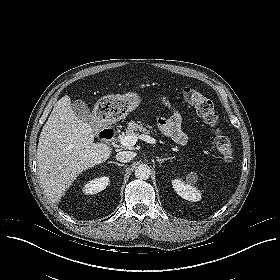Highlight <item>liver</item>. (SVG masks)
<instances>
[{
  "instance_id": "1",
  "label": "liver",
  "mask_w": 280,
  "mask_h": 280,
  "mask_svg": "<svg viewBox=\"0 0 280 280\" xmlns=\"http://www.w3.org/2000/svg\"><path fill=\"white\" fill-rule=\"evenodd\" d=\"M112 149L94 143V130L71 107L68 95L56 102L42 128L37 147V166L44 192L57 203L86 169L106 161Z\"/></svg>"
}]
</instances>
